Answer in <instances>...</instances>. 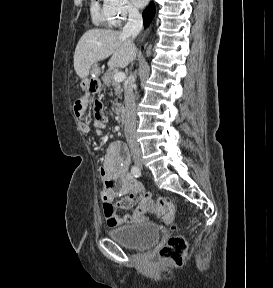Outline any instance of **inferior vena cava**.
Listing matches in <instances>:
<instances>
[{
  "label": "inferior vena cava",
  "mask_w": 273,
  "mask_h": 288,
  "mask_svg": "<svg viewBox=\"0 0 273 288\" xmlns=\"http://www.w3.org/2000/svg\"><path fill=\"white\" fill-rule=\"evenodd\" d=\"M128 22L123 27L122 35L134 39L141 31L143 26L142 16L138 9L130 7L128 9ZM135 77L131 73L127 78L124 86L125 114H124V131L127 143L132 154L140 153V146L137 142L136 135V104L133 93Z\"/></svg>",
  "instance_id": "obj_1"
}]
</instances>
